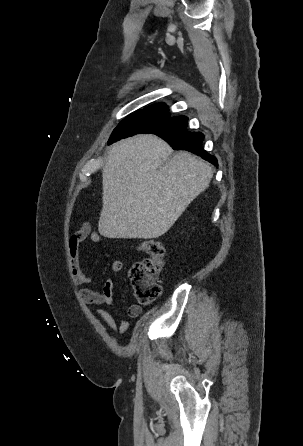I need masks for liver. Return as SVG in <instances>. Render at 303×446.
<instances>
[{
    "label": "liver",
    "instance_id": "obj_1",
    "mask_svg": "<svg viewBox=\"0 0 303 446\" xmlns=\"http://www.w3.org/2000/svg\"><path fill=\"white\" fill-rule=\"evenodd\" d=\"M155 135L111 146L103 167L99 233L107 238L152 239L165 234L210 183L209 164Z\"/></svg>",
    "mask_w": 303,
    "mask_h": 446
}]
</instances>
